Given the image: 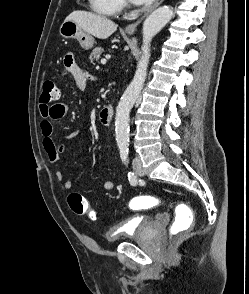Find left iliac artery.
I'll return each mask as SVG.
<instances>
[{
	"label": "left iliac artery",
	"mask_w": 249,
	"mask_h": 294,
	"mask_svg": "<svg viewBox=\"0 0 249 294\" xmlns=\"http://www.w3.org/2000/svg\"><path fill=\"white\" fill-rule=\"evenodd\" d=\"M119 149H120V157H121L122 161L125 164H128V153H129L128 145H121V146H119ZM128 179H129V182L131 185L137 184V178L134 175V173L129 172Z\"/></svg>",
	"instance_id": "44dca946"
}]
</instances>
